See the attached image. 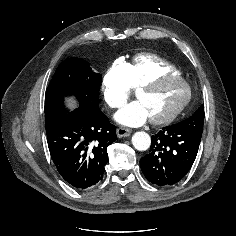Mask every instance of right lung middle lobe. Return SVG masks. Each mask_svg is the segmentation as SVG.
Segmentation results:
<instances>
[{
  "mask_svg": "<svg viewBox=\"0 0 236 236\" xmlns=\"http://www.w3.org/2000/svg\"><path fill=\"white\" fill-rule=\"evenodd\" d=\"M101 79V74L92 71L86 61L75 57L64 60L46 89L45 119L66 114L64 100L69 96L77 100L78 108H97Z\"/></svg>",
  "mask_w": 236,
  "mask_h": 236,
  "instance_id": "1",
  "label": "right lung middle lobe"
}]
</instances>
